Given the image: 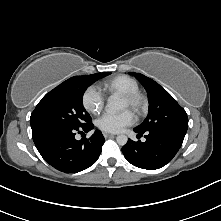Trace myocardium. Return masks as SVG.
Instances as JSON below:
<instances>
[{"mask_svg": "<svg viewBox=\"0 0 221 221\" xmlns=\"http://www.w3.org/2000/svg\"><path fill=\"white\" fill-rule=\"evenodd\" d=\"M122 98L136 114H141L147 107V98L139 91L122 95Z\"/></svg>", "mask_w": 221, "mask_h": 221, "instance_id": "obj_1", "label": "myocardium"}]
</instances>
